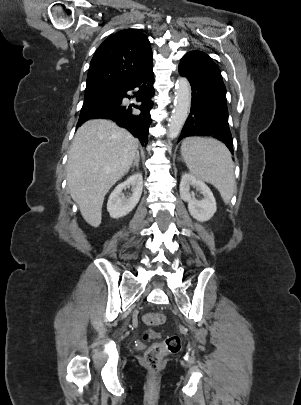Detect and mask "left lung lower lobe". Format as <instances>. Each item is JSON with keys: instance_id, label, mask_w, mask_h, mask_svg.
Listing matches in <instances>:
<instances>
[{"instance_id": "obj_1", "label": "left lung lower lobe", "mask_w": 301, "mask_h": 405, "mask_svg": "<svg viewBox=\"0 0 301 405\" xmlns=\"http://www.w3.org/2000/svg\"><path fill=\"white\" fill-rule=\"evenodd\" d=\"M179 72L192 87L191 110L179 141L189 136H209L225 143L233 154L226 88L219 68L204 52L192 51L181 58Z\"/></svg>"}]
</instances>
